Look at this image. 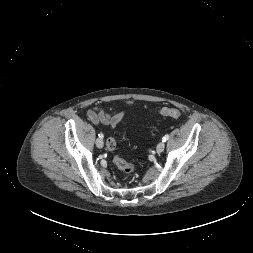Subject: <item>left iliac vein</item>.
I'll return each instance as SVG.
<instances>
[{"instance_id": "4c4485c4", "label": "left iliac vein", "mask_w": 253, "mask_h": 253, "mask_svg": "<svg viewBox=\"0 0 253 253\" xmlns=\"http://www.w3.org/2000/svg\"><path fill=\"white\" fill-rule=\"evenodd\" d=\"M164 148H165L164 142L163 141L159 142L156 147L157 153H162L164 151Z\"/></svg>"}]
</instances>
